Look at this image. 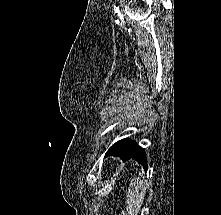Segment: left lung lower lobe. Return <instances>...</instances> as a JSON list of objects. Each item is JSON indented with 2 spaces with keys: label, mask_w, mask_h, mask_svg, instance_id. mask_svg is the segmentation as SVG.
<instances>
[{
  "label": "left lung lower lobe",
  "mask_w": 221,
  "mask_h": 215,
  "mask_svg": "<svg viewBox=\"0 0 221 215\" xmlns=\"http://www.w3.org/2000/svg\"><path fill=\"white\" fill-rule=\"evenodd\" d=\"M107 155L119 156L123 161L135 159L147 169V159L144 149L129 138L122 139L113 144L107 151Z\"/></svg>",
  "instance_id": "0a47b994"
}]
</instances>
